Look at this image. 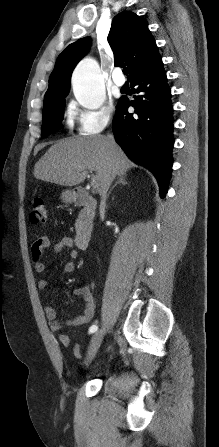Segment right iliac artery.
Masks as SVG:
<instances>
[{"mask_svg": "<svg viewBox=\"0 0 219 447\" xmlns=\"http://www.w3.org/2000/svg\"><path fill=\"white\" fill-rule=\"evenodd\" d=\"M97 329H98V326H97V325H92V326L89 328V333H90V334H91V333H94V332L97 331Z\"/></svg>", "mask_w": 219, "mask_h": 447, "instance_id": "1", "label": "right iliac artery"}]
</instances>
